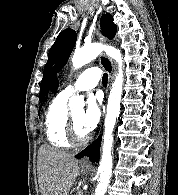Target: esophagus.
Returning a JSON list of instances; mask_svg holds the SVG:
<instances>
[{
  "mask_svg": "<svg viewBox=\"0 0 178 195\" xmlns=\"http://www.w3.org/2000/svg\"><path fill=\"white\" fill-rule=\"evenodd\" d=\"M98 40L102 43L107 42V39L101 33H98ZM99 59H100L101 65L104 67V69L107 71V73L109 75L108 89H110V86H111L113 79H114V76H115L114 64H113L112 60L108 56H106L105 54H101ZM80 165L84 166V167H90V166H92V163L90 162L88 157H84L81 160Z\"/></svg>",
  "mask_w": 178,
  "mask_h": 195,
  "instance_id": "esophagus-1",
  "label": "esophagus"
}]
</instances>
